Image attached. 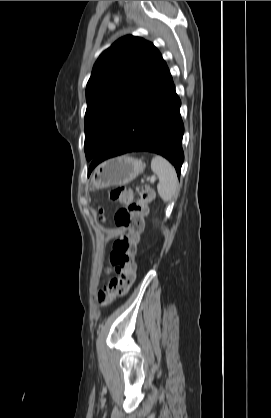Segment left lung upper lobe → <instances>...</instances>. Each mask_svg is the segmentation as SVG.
<instances>
[{
  "instance_id": "left-lung-upper-lobe-1",
  "label": "left lung upper lobe",
  "mask_w": 271,
  "mask_h": 418,
  "mask_svg": "<svg viewBox=\"0 0 271 418\" xmlns=\"http://www.w3.org/2000/svg\"><path fill=\"white\" fill-rule=\"evenodd\" d=\"M150 42L125 36L94 64L86 87L85 155L92 160L166 67Z\"/></svg>"
}]
</instances>
